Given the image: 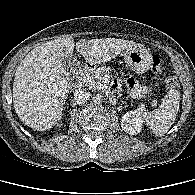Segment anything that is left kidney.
Wrapping results in <instances>:
<instances>
[{"instance_id": "1", "label": "left kidney", "mask_w": 195, "mask_h": 195, "mask_svg": "<svg viewBox=\"0 0 195 195\" xmlns=\"http://www.w3.org/2000/svg\"><path fill=\"white\" fill-rule=\"evenodd\" d=\"M146 111L142 104L134 111H128L122 116L121 127L130 135H136L142 130V113Z\"/></svg>"}]
</instances>
